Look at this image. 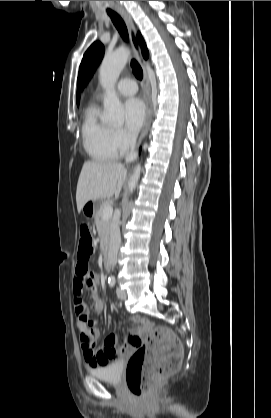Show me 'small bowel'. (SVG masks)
<instances>
[{
    "label": "small bowel",
    "instance_id": "obj_1",
    "mask_svg": "<svg viewBox=\"0 0 271 418\" xmlns=\"http://www.w3.org/2000/svg\"><path fill=\"white\" fill-rule=\"evenodd\" d=\"M97 283V270L91 269V261L77 260L73 278V303L77 313H79L76 315V322L80 332L84 359L91 367L106 365L125 355L141 342L140 337L131 331L123 337L120 345L117 344L119 337L116 334L108 336L103 344L97 345L101 332L99 328L95 327V319H89V315L86 314L88 307L83 300L85 290L90 289L94 310L96 312L103 310L104 301L95 291ZM131 321L135 324H143L140 317H133Z\"/></svg>",
    "mask_w": 271,
    "mask_h": 418
}]
</instances>
